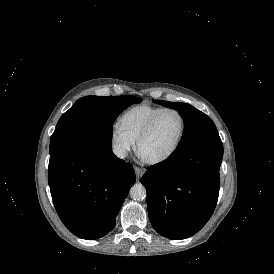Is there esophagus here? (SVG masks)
<instances>
[{"instance_id":"34e87169","label":"esophagus","mask_w":274,"mask_h":274,"mask_svg":"<svg viewBox=\"0 0 274 274\" xmlns=\"http://www.w3.org/2000/svg\"><path fill=\"white\" fill-rule=\"evenodd\" d=\"M134 170H135V174L138 179H140L143 176V174L145 173V169L137 167V166H134Z\"/></svg>"}]
</instances>
